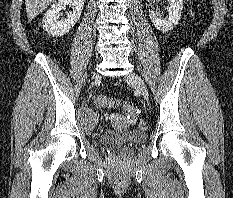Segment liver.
Returning a JSON list of instances; mask_svg holds the SVG:
<instances>
[{
    "mask_svg": "<svg viewBox=\"0 0 233 198\" xmlns=\"http://www.w3.org/2000/svg\"><path fill=\"white\" fill-rule=\"evenodd\" d=\"M55 0H25L28 20H33Z\"/></svg>",
    "mask_w": 233,
    "mask_h": 198,
    "instance_id": "liver-1",
    "label": "liver"
}]
</instances>
